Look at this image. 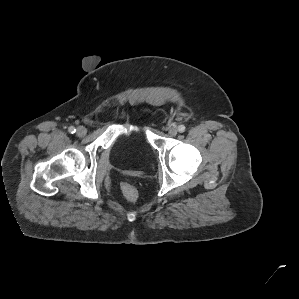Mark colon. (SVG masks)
<instances>
[{"instance_id": "5ec220e1", "label": "colon", "mask_w": 299, "mask_h": 299, "mask_svg": "<svg viewBox=\"0 0 299 299\" xmlns=\"http://www.w3.org/2000/svg\"><path fill=\"white\" fill-rule=\"evenodd\" d=\"M121 191L127 201H129V202L136 201V199L138 197V193H137L136 188L132 184L123 183L121 186Z\"/></svg>"}]
</instances>
